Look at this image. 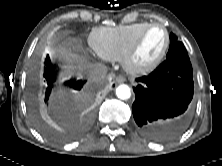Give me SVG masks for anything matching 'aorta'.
<instances>
[{
	"label": "aorta",
	"mask_w": 222,
	"mask_h": 166,
	"mask_svg": "<svg viewBox=\"0 0 222 166\" xmlns=\"http://www.w3.org/2000/svg\"><path fill=\"white\" fill-rule=\"evenodd\" d=\"M116 95L119 99L126 100L131 96V90L128 85L122 84L116 88Z\"/></svg>",
	"instance_id": "aorta-1"
}]
</instances>
